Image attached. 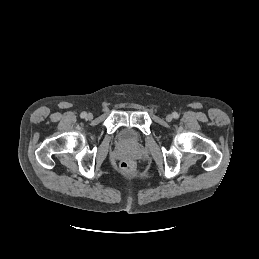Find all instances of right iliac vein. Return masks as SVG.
Segmentation results:
<instances>
[{"label":"right iliac vein","mask_w":259,"mask_h":259,"mask_svg":"<svg viewBox=\"0 0 259 259\" xmlns=\"http://www.w3.org/2000/svg\"><path fill=\"white\" fill-rule=\"evenodd\" d=\"M86 118H87L88 120H91V119L93 118V115H92L91 113H89V114H87Z\"/></svg>","instance_id":"1"}]
</instances>
